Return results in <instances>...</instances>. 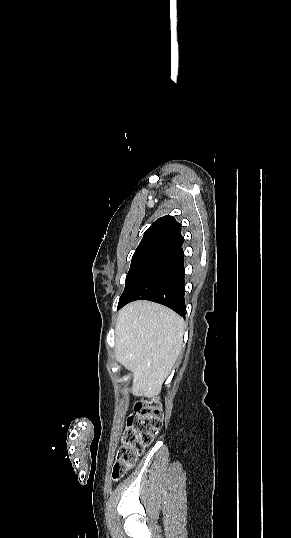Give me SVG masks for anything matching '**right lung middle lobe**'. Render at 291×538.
Segmentation results:
<instances>
[{
	"label": "right lung middle lobe",
	"mask_w": 291,
	"mask_h": 538,
	"mask_svg": "<svg viewBox=\"0 0 291 538\" xmlns=\"http://www.w3.org/2000/svg\"><path fill=\"white\" fill-rule=\"evenodd\" d=\"M171 252L172 250L165 248L135 251L126 277L125 289L119 299L118 310L128 302L130 295L139 283Z\"/></svg>",
	"instance_id": "1"
}]
</instances>
